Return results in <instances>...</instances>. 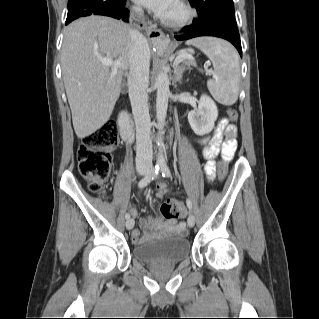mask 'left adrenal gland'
<instances>
[{"mask_svg":"<svg viewBox=\"0 0 319 319\" xmlns=\"http://www.w3.org/2000/svg\"><path fill=\"white\" fill-rule=\"evenodd\" d=\"M184 70L185 69L181 68L180 66L174 68V75H175L174 82L181 83V79H182V75H183Z\"/></svg>","mask_w":319,"mask_h":319,"instance_id":"a2214340","label":"left adrenal gland"}]
</instances>
